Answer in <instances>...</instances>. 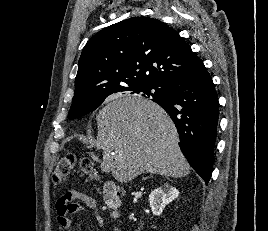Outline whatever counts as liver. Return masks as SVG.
Returning <instances> with one entry per match:
<instances>
[{"label":"liver","mask_w":268,"mask_h":231,"mask_svg":"<svg viewBox=\"0 0 268 231\" xmlns=\"http://www.w3.org/2000/svg\"><path fill=\"white\" fill-rule=\"evenodd\" d=\"M97 140L103 150L100 168L120 183L142 173L181 178L190 166L182 154L176 127L156 103L126 96L106 104L96 116Z\"/></svg>","instance_id":"liver-1"}]
</instances>
